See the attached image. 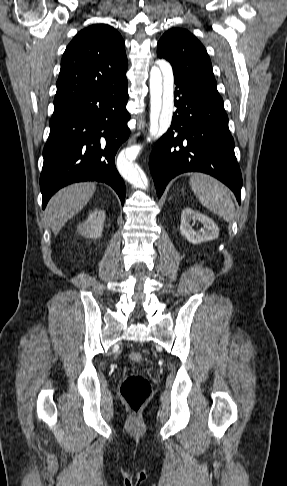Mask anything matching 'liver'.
Here are the masks:
<instances>
[{
  "label": "liver",
  "instance_id": "1",
  "mask_svg": "<svg viewBox=\"0 0 287 486\" xmlns=\"http://www.w3.org/2000/svg\"><path fill=\"white\" fill-rule=\"evenodd\" d=\"M95 190L94 183H76L61 189L50 199L46 208V218L54 235H57L65 223L83 209Z\"/></svg>",
  "mask_w": 287,
  "mask_h": 486
}]
</instances>
